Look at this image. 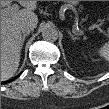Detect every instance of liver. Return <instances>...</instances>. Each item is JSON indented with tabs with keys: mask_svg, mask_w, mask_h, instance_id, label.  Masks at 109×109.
I'll return each instance as SVG.
<instances>
[{
	"mask_svg": "<svg viewBox=\"0 0 109 109\" xmlns=\"http://www.w3.org/2000/svg\"><path fill=\"white\" fill-rule=\"evenodd\" d=\"M6 4V3H4ZM26 9L19 10L9 7L2 11L1 16V77L9 79L17 71L22 49V22H30L34 27L38 24V17L34 13L35 1H21Z\"/></svg>",
	"mask_w": 109,
	"mask_h": 109,
	"instance_id": "1",
	"label": "liver"
}]
</instances>
